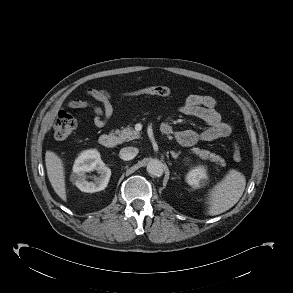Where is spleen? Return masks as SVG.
<instances>
[{
    "label": "spleen",
    "instance_id": "1",
    "mask_svg": "<svg viewBox=\"0 0 293 293\" xmlns=\"http://www.w3.org/2000/svg\"><path fill=\"white\" fill-rule=\"evenodd\" d=\"M245 186V176L235 169H230L224 178L209 191L208 214L219 215L232 208L242 197Z\"/></svg>",
    "mask_w": 293,
    "mask_h": 293
}]
</instances>
